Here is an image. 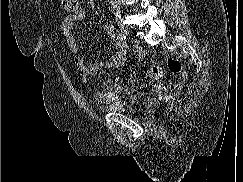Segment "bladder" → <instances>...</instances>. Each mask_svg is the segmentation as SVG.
<instances>
[{"label":"bladder","mask_w":243,"mask_h":182,"mask_svg":"<svg viewBox=\"0 0 243 182\" xmlns=\"http://www.w3.org/2000/svg\"><path fill=\"white\" fill-rule=\"evenodd\" d=\"M146 103V96L139 92L129 91L124 97L108 104H99L97 110L105 113L128 114L141 110Z\"/></svg>","instance_id":"1"}]
</instances>
